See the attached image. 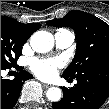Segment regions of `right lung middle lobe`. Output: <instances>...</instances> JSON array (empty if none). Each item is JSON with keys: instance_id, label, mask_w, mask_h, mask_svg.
Wrapping results in <instances>:
<instances>
[{"instance_id": "dd1d6c3e", "label": "right lung middle lobe", "mask_w": 109, "mask_h": 109, "mask_svg": "<svg viewBox=\"0 0 109 109\" xmlns=\"http://www.w3.org/2000/svg\"><path fill=\"white\" fill-rule=\"evenodd\" d=\"M26 41L15 33L1 29V68L7 69L16 64L22 54V46Z\"/></svg>"}]
</instances>
